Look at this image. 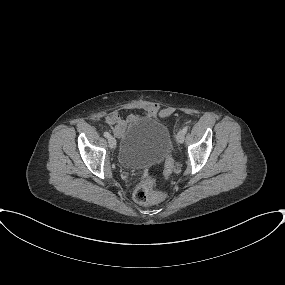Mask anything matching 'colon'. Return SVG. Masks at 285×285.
Returning <instances> with one entry per match:
<instances>
[{"label": "colon", "instance_id": "1", "mask_svg": "<svg viewBox=\"0 0 285 285\" xmlns=\"http://www.w3.org/2000/svg\"><path fill=\"white\" fill-rule=\"evenodd\" d=\"M134 200L139 204H154L160 202L162 197L155 192V179L146 175L138 184L133 193Z\"/></svg>", "mask_w": 285, "mask_h": 285}]
</instances>
